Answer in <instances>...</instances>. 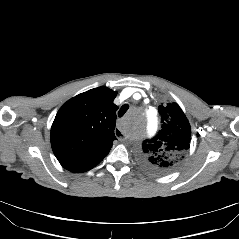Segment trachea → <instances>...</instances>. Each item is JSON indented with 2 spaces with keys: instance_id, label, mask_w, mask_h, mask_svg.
Instances as JSON below:
<instances>
[{
  "instance_id": "1",
  "label": "trachea",
  "mask_w": 239,
  "mask_h": 239,
  "mask_svg": "<svg viewBox=\"0 0 239 239\" xmlns=\"http://www.w3.org/2000/svg\"><path fill=\"white\" fill-rule=\"evenodd\" d=\"M129 109V105L128 104H124L121 109L118 111V116L122 117L126 111Z\"/></svg>"
}]
</instances>
